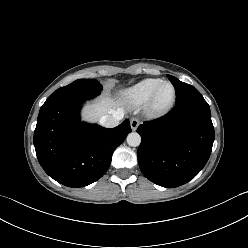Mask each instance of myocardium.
I'll return each mask as SVG.
<instances>
[{"mask_svg": "<svg viewBox=\"0 0 248 248\" xmlns=\"http://www.w3.org/2000/svg\"><path fill=\"white\" fill-rule=\"evenodd\" d=\"M165 85H169L172 87L173 90V95L171 100L165 104V105H158L157 104V96L159 94V91L161 90V88ZM176 97H177V91H176V87L174 86L173 83H171L170 81H162L152 92V94L150 95L149 99L147 100V102L145 103V110L148 114L151 115H159V114H164L166 112H168L169 110L172 109V107L174 106L175 102H176Z\"/></svg>", "mask_w": 248, "mask_h": 248, "instance_id": "obj_1", "label": "myocardium"}]
</instances>
